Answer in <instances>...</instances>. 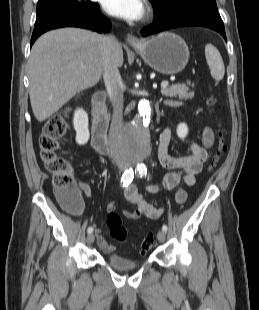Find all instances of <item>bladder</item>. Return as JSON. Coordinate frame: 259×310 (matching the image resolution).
Returning <instances> with one entry per match:
<instances>
[{
  "mask_svg": "<svg viewBox=\"0 0 259 310\" xmlns=\"http://www.w3.org/2000/svg\"><path fill=\"white\" fill-rule=\"evenodd\" d=\"M107 263L113 268L120 270L134 269L139 266L138 261L129 260L115 253L109 254L107 256Z\"/></svg>",
  "mask_w": 259,
  "mask_h": 310,
  "instance_id": "31cf9c89",
  "label": "bladder"
}]
</instances>
